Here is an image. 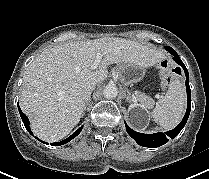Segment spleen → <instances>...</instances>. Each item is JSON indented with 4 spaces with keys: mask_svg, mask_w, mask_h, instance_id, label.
<instances>
[{
    "mask_svg": "<svg viewBox=\"0 0 209 179\" xmlns=\"http://www.w3.org/2000/svg\"><path fill=\"white\" fill-rule=\"evenodd\" d=\"M185 104L184 84L180 80H173L166 94L161 97L159 104L151 112V116L164 130L173 129L183 117Z\"/></svg>",
    "mask_w": 209,
    "mask_h": 179,
    "instance_id": "obj_1",
    "label": "spleen"
}]
</instances>
